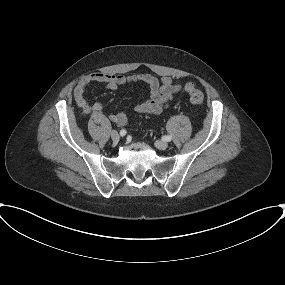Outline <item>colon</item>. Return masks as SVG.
Masks as SVG:
<instances>
[{"instance_id": "colon-1", "label": "colon", "mask_w": 285, "mask_h": 285, "mask_svg": "<svg viewBox=\"0 0 285 285\" xmlns=\"http://www.w3.org/2000/svg\"><path fill=\"white\" fill-rule=\"evenodd\" d=\"M186 92L190 96V100L195 105H201L204 100V95L201 90L197 89L193 83H187L185 86Z\"/></svg>"}]
</instances>
